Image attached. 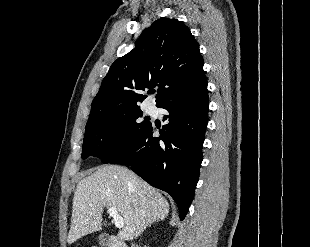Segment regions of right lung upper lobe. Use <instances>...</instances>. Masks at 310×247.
<instances>
[{
    "mask_svg": "<svg viewBox=\"0 0 310 247\" xmlns=\"http://www.w3.org/2000/svg\"><path fill=\"white\" fill-rule=\"evenodd\" d=\"M199 44L177 19L156 20L139 37L135 48L110 67L91 106L88 122L104 115L139 108L159 87L156 106L206 81ZM87 122V123H88Z\"/></svg>",
    "mask_w": 310,
    "mask_h": 247,
    "instance_id": "obj_1",
    "label": "right lung upper lobe"
}]
</instances>
